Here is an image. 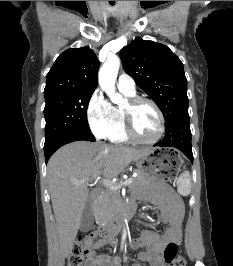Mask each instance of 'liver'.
<instances>
[{
  "label": "liver",
  "mask_w": 233,
  "mask_h": 266,
  "mask_svg": "<svg viewBox=\"0 0 233 266\" xmlns=\"http://www.w3.org/2000/svg\"><path fill=\"white\" fill-rule=\"evenodd\" d=\"M150 149H133L101 142L75 141L50 158L47 178L60 243L61 263L70 254L89 198V181L97 176L117 177L132 161ZM86 179L76 184L75 181Z\"/></svg>",
  "instance_id": "obj_1"
}]
</instances>
